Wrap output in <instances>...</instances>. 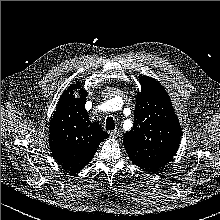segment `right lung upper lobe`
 I'll return each mask as SVG.
<instances>
[{
	"mask_svg": "<svg viewBox=\"0 0 220 220\" xmlns=\"http://www.w3.org/2000/svg\"><path fill=\"white\" fill-rule=\"evenodd\" d=\"M76 83L62 94L50 123L51 152L69 174L78 173L93 158L99 144L109 135L96 122L91 123L85 109L87 91ZM79 90V98L74 91Z\"/></svg>",
	"mask_w": 220,
	"mask_h": 220,
	"instance_id": "right-lung-upper-lobe-1",
	"label": "right lung upper lobe"
}]
</instances>
